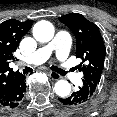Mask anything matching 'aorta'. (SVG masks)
Returning a JSON list of instances; mask_svg holds the SVG:
<instances>
[{
	"instance_id": "762f6f07",
	"label": "aorta",
	"mask_w": 117,
	"mask_h": 117,
	"mask_svg": "<svg viewBox=\"0 0 117 117\" xmlns=\"http://www.w3.org/2000/svg\"><path fill=\"white\" fill-rule=\"evenodd\" d=\"M54 32L49 21H39L33 27L34 38L42 43L49 42L54 37ZM54 91L59 97H67L71 92V85L66 80H59L54 85Z\"/></svg>"
}]
</instances>
